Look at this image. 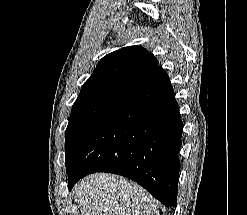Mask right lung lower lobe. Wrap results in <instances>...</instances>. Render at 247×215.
<instances>
[{
    "label": "right lung lower lobe",
    "instance_id": "98d812e1",
    "mask_svg": "<svg viewBox=\"0 0 247 215\" xmlns=\"http://www.w3.org/2000/svg\"><path fill=\"white\" fill-rule=\"evenodd\" d=\"M182 120L167 73L155 68L80 140L68 188L93 172L137 182L165 206L176 207Z\"/></svg>",
    "mask_w": 247,
    "mask_h": 215
}]
</instances>
